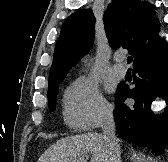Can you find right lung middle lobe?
Returning <instances> with one entry per match:
<instances>
[{
    "instance_id": "obj_1",
    "label": "right lung middle lobe",
    "mask_w": 168,
    "mask_h": 162,
    "mask_svg": "<svg viewBox=\"0 0 168 162\" xmlns=\"http://www.w3.org/2000/svg\"><path fill=\"white\" fill-rule=\"evenodd\" d=\"M61 81L62 80L54 82V83L48 85V104H49L50 111H54L55 110V107H56V96H57L58 91H59L58 90V84Z\"/></svg>"
}]
</instances>
